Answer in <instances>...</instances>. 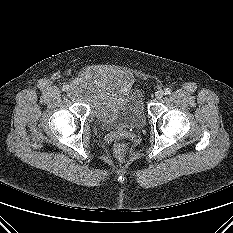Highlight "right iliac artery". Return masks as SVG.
<instances>
[{"label": "right iliac artery", "instance_id": "right-iliac-artery-1", "mask_svg": "<svg viewBox=\"0 0 233 233\" xmlns=\"http://www.w3.org/2000/svg\"><path fill=\"white\" fill-rule=\"evenodd\" d=\"M69 89V86L68 85H64L63 87H62V90L63 91H66V90H68Z\"/></svg>", "mask_w": 233, "mask_h": 233}]
</instances>
